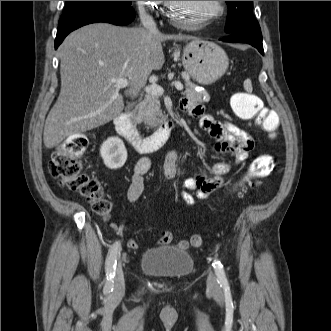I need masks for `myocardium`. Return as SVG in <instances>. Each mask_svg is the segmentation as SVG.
<instances>
[{"instance_id":"f54148a6","label":"myocardium","mask_w":331,"mask_h":331,"mask_svg":"<svg viewBox=\"0 0 331 331\" xmlns=\"http://www.w3.org/2000/svg\"><path fill=\"white\" fill-rule=\"evenodd\" d=\"M166 16L169 19V21L175 25V26H179V27H200L203 26L211 21H214L218 18H220L224 11H225V4L224 1H217V10L212 13L211 15H209L208 17L203 18L200 22L194 23V24H187L185 22H182L180 20H178L174 14H173V9H174V1H166Z\"/></svg>"}]
</instances>
